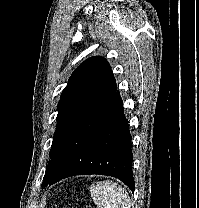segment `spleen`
<instances>
[{"instance_id":"obj_1","label":"spleen","mask_w":199,"mask_h":208,"mask_svg":"<svg viewBox=\"0 0 199 208\" xmlns=\"http://www.w3.org/2000/svg\"><path fill=\"white\" fill-rule=\"evenodd\" d=\"M91 196L97 208H131L125 189L112 181H99L91 186Z\"/></svg>"}]
</instances>
